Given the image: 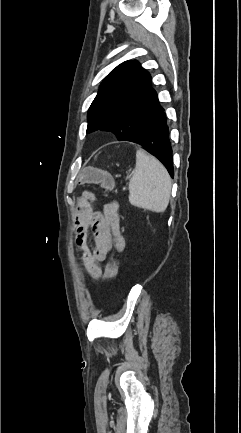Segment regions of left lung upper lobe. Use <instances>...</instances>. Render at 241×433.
Masks as SVG:
<instances>
[{"mask_svg": "<svg viewBox=\"0 0 241 433\" xmlns=\"http://www.w3.org/2000/svg\"><path fill=\"white\" fill-rule=\"evenodd\" d=\"M161 109L150 74L137 61H125L101 83L88 111L87 133L111 131L126 141L145 129Z\"/></svg>", "mask_w": 241, "mask_h": 433, "instance_id": "obj_1", "label": "left lung upper lobe"}]
</instances>
